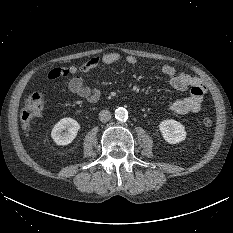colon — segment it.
Instances as JSON below:
<instances>
[{
	"instance_id": "5ec220e1",
	"label": "colon",
	"mask_w": 233,
	"mask_h": 233,
	"mask_svg": "<svg viewBox=\"0 0 233 233\" xmlns=\"http://www.w3.org/2000/svg\"><path fill=\"white\" fill-rule=\"evenodd\" d=\"M44 108V99L43 96L39 93L31 94L25 102L24 107L20 112V119L22 125L25 129H28L31 123V120L39 116ZM202 124L205 127H210L213 124V121L209 117H205L202 120Z\"/></svg>"
}]
</instances>
